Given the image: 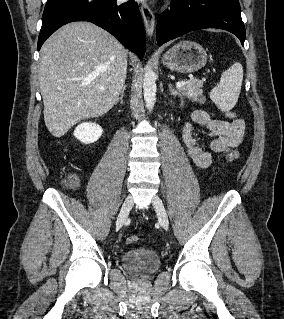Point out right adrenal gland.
<instances>
[{
	"instance_id": "2a0ac1e0",
	"label": "right adrenal gland",
	"mask_w": 284,
	"mask_h": 319,
	"mask_svg": "<svg viewBox=\"0 0 284 319\" xmlns=\"http://www.w3.org/2000/svg\"><path fill=\"white\" fill-rule=\"evenodd\" d=\"M126 90V85L123 86V89L120 92V97H118L117 102L118 103L120 101V103H123V96H124V91Z\"/></svg>"
}]
</instances>
